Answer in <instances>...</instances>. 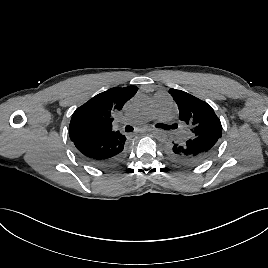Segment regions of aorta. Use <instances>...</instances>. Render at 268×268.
<instances>
[{"mask_svg":"<svg viewBox=\"0 0 268 268\" xmlns=\"http://www.w3.org/2000/svg\"><path fill=\"white\" fill-rule=\"evenodd\" d=\"M148 102H149V98L146 95H139L137 100H136V104L139 107L146 106L148 104ZM153 138L158 143L163 142L166 138V130L164 128H157L155 130Z\"/></svg>","mask_w":268,"mask_h":268,"instance_id":"obj_1","label":"aorta"}]
</instances>
